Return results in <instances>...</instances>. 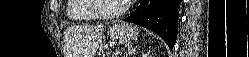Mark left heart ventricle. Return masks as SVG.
<instances>
[{
  "mask_svg": "<svg viewBox=\"0 0 249 57\" xmlns=\"http://www.w3.org/2000/svg\"><path fill=\"white\" fill-rule=\"evenodd\" d=\"M123 4L121 0H101V11L104 13H114L118 11Z\"/></svg>",
  "mask_w": 249,
  "mask_h": 57,
  "instance_id": "1",
  "label": "left heart ventricle"
}]
</instances>
